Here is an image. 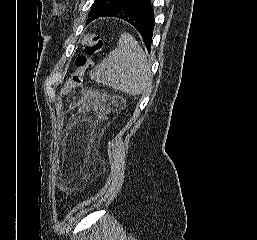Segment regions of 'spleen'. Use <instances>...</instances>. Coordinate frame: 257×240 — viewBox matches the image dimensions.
I'll use <instances>...</instances> for the list:
<instances>
[{
  "instance_id": "1",
  "label": "spleen",
  "mask_w": 257,
  "mask_h": 240,
  "mask_svg": "<svg viewBox=\"0 0 257 240\" xmlns=\"http://www.w3.org/2000/svg\"><path fill=\"white\" fill-rule=\"evenodd\" d=\"M90 75L97 83L131 95L149 92L152 85L147 56L129 33L120 36L118 47Z\"/></svg>"
}]
</instances>
